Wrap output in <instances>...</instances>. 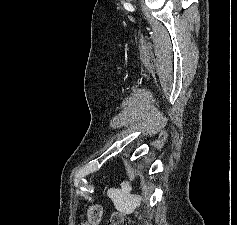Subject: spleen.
Returning a JSON list of instances; mask_svg holds the SVG:
<instances>
[{
    "mask_svg": "<svg viewBox=\"0 0 237 225\" xmlns=\"http://www.w3.org/2000/svg\"><path fill=\"white\" fill-rule=\"evenodd\" d=\"M131 186L128 182H122L121 189L110 188L108 197L113 201L115 208L122 214H132L140 206L141 198L131 194Z\"/></svg>",
    "mask_w": 237,
    "mask_h": 225,
    "instance_id": "1",
    "label": "spleen"
}]
</instances>
